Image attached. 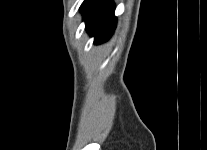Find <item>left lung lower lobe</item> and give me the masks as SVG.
<instances>
[{
  "instance_id": "1",
  "label": "left lung lower lobe",
  "mask_w": 207,
  "mask_h": 150,
  "mask_svg": "<svg viewBox=\"0 0 207 150\" xmlns=\"http://www.w3.org/2000/svg\"><path fill=\"white\" fill-rule=\"evenodd\" d=\"M115 5L112 0H85L81 5L86 30L95 42L108 40L116 27Z\"/></svg>"
}]
</instances>
